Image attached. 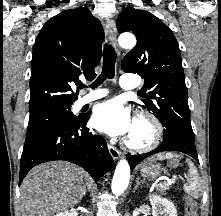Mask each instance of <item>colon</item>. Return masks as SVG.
Returning <instances> with one entry per match:
<instances>
[{
    "instance_id": "colon-1",
    "label": "colon",
    "mask_w": 221,
    "mask_h": 216,
    "mask_svg": "<svg viewBox=\"0 0 221 216\" xmlns=\"http://www.w3.org/2000/svg\"><path fill=\"white\" fill-rule=\"evenodd\" d=\"M176 164H177L176 162L173 163V165ZM185 201H186L185 216H198L197 215L198 207L196 202L188 196L185 197Z\"/></svg>"
}]
</instances>
